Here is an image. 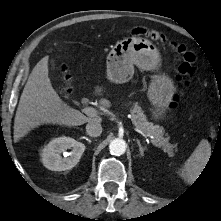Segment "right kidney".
I'll return each instance as SVG.
<instances>
[{"label":"right kidney","instance_id":"right-kidney-1","mask_svg":"<svg viewBox=\"0 0 221 221\" xmlns=\"http://www.w3.org/2000/svg\"><path fill=\"white\" fill-rule=\"evenodd\" d=\"M72 149L71 152H66ZM85 145L70 137H58L50 141L43 149L42 162L49 170L65 171L73 168L80 160ZM64 153V157L61 156Z\"/></svg>","mask_w":221,"mask_h":221}]
</instances>
